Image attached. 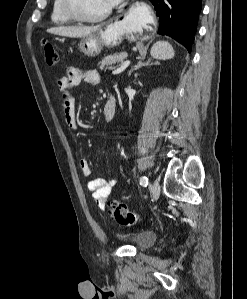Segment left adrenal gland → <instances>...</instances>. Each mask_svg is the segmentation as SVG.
<instances>
[{
  "label": "left adrenal gland",
  "instance_id": "obj_1",
  "mask_svg": "<svg viewBox=\"0 0 247 299\" xmlns=\"http://www.w3.org/2000/svg\"><path fill=\"white\" fill-rule=\"evenodd\" d=\"M152 65H159L158 62H151V59H149L148 61L144 62V58L140 59V61H138V63L136 65L133 66V68L128 72V75L130 76L131 73L141 67H145V66H152Z\"/></svg>",
  "mask_w": 247,
  "mask_h": 299
}]
</instances>
